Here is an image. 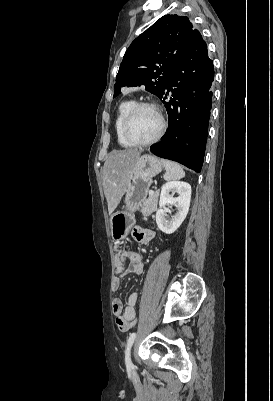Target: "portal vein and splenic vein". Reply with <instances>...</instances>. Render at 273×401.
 <instances>
[{
    "instance_id": "18ae733b",
    "label": "portal vein and splenic vein",
    "mask_w": 273,
    "mask_h": 401,
    "mask_svg": "<svg viewBox=\"0 0 273 401\" xmlns=\"http://www.w3.org/2000/svg\"><path fill=\"white\" fill-rule=\"evenodd\" d=\"M153 193H154V190H153V189H150V190H149V193H148V196H149V197H152V196H153Z\"/></svg>"
}]
</instances>
